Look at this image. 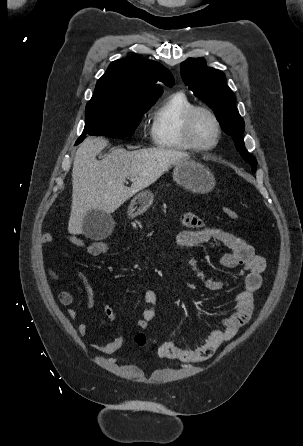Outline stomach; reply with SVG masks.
<instances>
[{"label": "stomach", "instance_id": "stomach-1", "mask_svg": "<svg viewBox=\"0 0 303 446\" xmlns=\"http://www.w3.org/2000/svg\"><path fill=\"white\" fill-rule=\"evenodd\" d=\"M173 179L178 185L198 194L210 192L215 186L211 171L192 159H185L174 165ZM153 198L150 190L138 193L129 205L128 215L136 217L143 214L153 203Z\"/></svg>", "mask_w": 303, "mask_h": 446}]
</instances>
